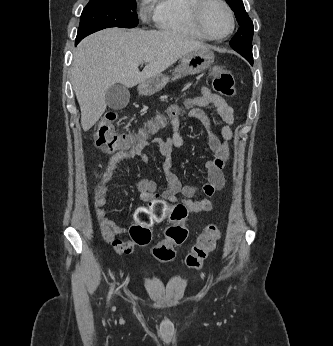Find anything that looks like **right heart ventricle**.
Returning <instances> with one entry per match:
<instances>
[{
  "label": "right heart ventricle",
  "mask_w": 333,
  "mask_h": 346,
  "mask_svg": "<svg viewBox=\"0 0 333 346\" xmlns=\"http://www.w3.org/2000/svg\"><path fill=\"white\" fill-rule=\"evenodd\" d=\"M153 20L162 30L177 33L193 40L208 39L196 26L193 19L195 0H153Z\"/></svg>",
  "instance_id": "right-heart-ventricle-1"
}]
</instances>
